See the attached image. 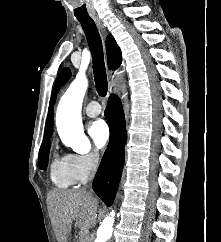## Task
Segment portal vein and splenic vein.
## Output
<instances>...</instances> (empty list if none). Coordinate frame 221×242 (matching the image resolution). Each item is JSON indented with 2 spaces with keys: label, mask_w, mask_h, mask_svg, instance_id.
Returning <instances> with one entry per match:
<instances>
[{
  "label": "portal vein and splenic vein",
  "mask_w": 221,
  "mask_h": 242,
  "mask_svg": "<svg viewBox=\"0 0 221 242\" xmlns=\"http://www.w3.org/2000/svg\"><path fill=\"white\" fill-rule=\"evenodd\" d=\"M87 234H88V231H84L83 235H84V238L87 237Z\"/></svg>",
  "instance_id": "18ae733b"
}]
</instances>
